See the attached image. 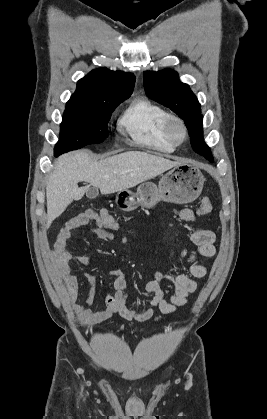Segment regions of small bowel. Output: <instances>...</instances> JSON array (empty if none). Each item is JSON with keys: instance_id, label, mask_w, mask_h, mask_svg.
Segmentation results:
<instances>
[{"instance_id": "small-bowel-1", "label": "small bowel", "mask_w": 267, "mask_h": 419, "mask_svg": "<svg viewBox=\"0 0 267 419\" xmlns=\"http://www.w3.org/2000/svg\"><path fill=\"white\" fill-rule=\"evenodd\" d=\"M177 215L181 220L187 222L195 223L196 221L195 213L188 208L177 210ZM87 224H93L92 232L101 240H118L121 242L114 233L101 225L98 214L92 210H86L71 218L57 235L51 252L54 271L63 282L68 303L82 324H98L109 319L114 314H119L126 320L143 322L154 317L155 309H158L162 315L175 312L186 304L190 294L197 289L196 279L204 278L207 275V268L203 264L198 263V258H210L216 254L214 246L215 234L211 230L196 227L191 234V241L196 248L193 251L185 248L178 251L179 257L185 259L188 264L187 273L175 272L172 274L167 268L158 270L155 280L146 284V291L152 294V298L146 308L141 311H134L128 306L126 275L124 271L114 269L110 272L114 277V282L112 291H109L105 298L106 308L101 311H94L90 308L96 290L94 276L91 273H85L90 288L84 303H79V281L72 270L74 262L83 266H90L93 263V259L73 257L68 250L72 233ZM174 256V251H170L166 255L167 259H172ZM163 282L170 283L173 288V294L169 297H166L162 289L161 284ZM161 319L162 316L155 317L156 321Z\"/></svg>"}]
</instances>
